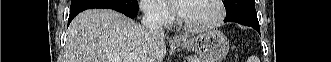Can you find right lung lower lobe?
Segmentation results:
<instances>
[{"label": "right lung lower lobe", "mask_w": 331, "mask_h": 62, "mask_svg": "<svg viewBox=\"0 0 331 62\" xmlns=\"http://www.w3.org/2000/svg\"><path fill=\"white\" fill-rule=\"evenodd\" d=\"M91 8H105V9H113L116 10L130 18H134L137 16L138 11H132L127 8L111 4V3H105V2H87L80 5H77L75 7H70V14L68 19V24L72 21V19L80 12L91 9Z\"/></svg>", "instance_id": "obj_1"}]
</instances>
